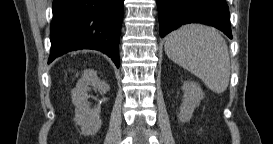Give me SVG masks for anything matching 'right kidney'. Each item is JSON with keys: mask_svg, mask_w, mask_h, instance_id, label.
<instances>
[{"mask_svg": "<svg viewBox=\"0 0 273 144\" xmlns=\"http://www.w3.org/2000/svg\"><path fill=\"white\" fill-rule=\"evenodd\" d=\"M90 86L98 90L108 89V86L98 79L95 71L86 70L71 92L72 102L75 105V121L86 135L95 134L102 124L98 109L91 110L87 103V91Z\"/></svg>", "mask_w": 273, "mask_h": 144, "instance_id": "obj_1", "label": "right kidney"}]
</instances>
